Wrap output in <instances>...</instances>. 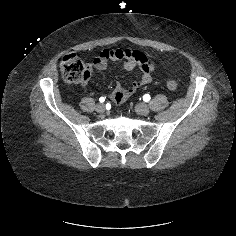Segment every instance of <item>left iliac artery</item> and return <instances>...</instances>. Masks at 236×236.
Returning <instances> with one entry per match:
<instances>
[{"instance_id": "left-iliac-artery-1", "label": "left iliac artery", "mask_w": 236, "mask_h": 236, "mask_svg": "<svg viewBox=\"0 0 236 236\" xmlns=\"http://www.w3.org/2000/svg\"><path fill=\"white\" fill-rule=\"evenodd\" d=\"M143 100L144 101H149L150 100V95L149 94H145L144 96H143Z\"/></svg>"}]
</instances>
